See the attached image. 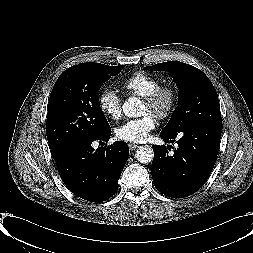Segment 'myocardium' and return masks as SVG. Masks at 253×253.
<instances>
[{
    "label": "myocardium",
    "mask_w": 253,
    "mask_h": 253,
    "mask_svg": "<svg viewBox=\"0 0 253 253\" xmlns=\"http://www.w3.org/2000/svg\"><path fill=\"white\" fill-rule=\"evenodd\" d=\"M178 100L177 90L169 85H162L143 98L145 104L155 109L153 115L163 120L175 109Z\"/></svg>",
    "instance_id": "f54148a6"
}]
</instances>
